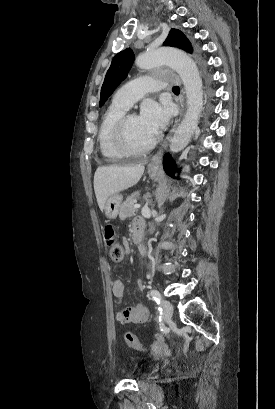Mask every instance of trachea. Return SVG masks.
<instances>
[{
  "label": "trachea",
  "mask_w": 275,
  "mask_h": 409,
  "mask_svg": "<svg viewBox=\"0 0 275 409\" xmlns=\"http://www.w3.org/2000/svg\"><path fill=\"white\" fill-rule=\"evenodd\" d=\"M172 90H173V91L180 92V88H179L177 85H175V87H173Z\"/></svg>",
  "instance_id": "1"
}]
</instances>
